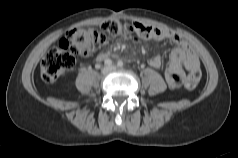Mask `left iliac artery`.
<instances>
[{
  "label": "left iliac artery",
  "mask_w": 238,
  "mask_h": 158,
  "mask_svg": "<svg viewBox=\"0 0 238 158\" xmlns=\"http://www.w3.org/2000/svg\"><path fill=\"white\" fill-rule=\"evenodd\" d=\"M123 65H124V64H123V62H122V61H118V63H117V66H118V67L122 68V67H123Z\"/></svg>",
  "instance_id": "left-iliac-artery-1"
}]
</instances>
